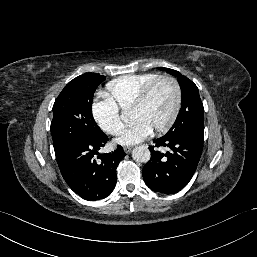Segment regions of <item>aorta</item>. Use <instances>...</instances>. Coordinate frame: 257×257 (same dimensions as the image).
Wrapping results in <instances>:
<instances>
[{
    "mask_svg": "<svg viewBox=\"0 0 257 257\" xmlns=\"http://www.w3.org/2000/svg\"><path fill=\"white\" fill-rule=\"evenodd\" d=\"M150 151L145 146L135 147L132 151V157L137 162L146 163L150 160Z\"/></svg>",
    "mask_w": 257,
    "mask_h": 257,
    "instance_id": "aorta-1",
    "label": "aorta"
}]
</instances>
